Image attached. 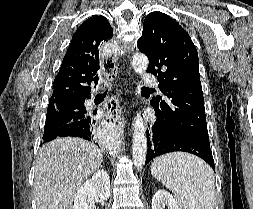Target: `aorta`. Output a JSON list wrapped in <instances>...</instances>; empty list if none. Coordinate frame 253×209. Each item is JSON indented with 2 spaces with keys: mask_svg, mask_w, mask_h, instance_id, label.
<instances>
[{
  "mask_svg": "<svg viewBox=\"0 0 253 209\" xmlns=\"http://www.w3.org/2000/svg\"><path fill=\"white\" fill-rule=\"evenodd\" d=\"M132 66L136 73L142 74L148 67V58L143 54H137L133 57ZM132 153L134 166L141 170L146 160L147 139L146 127L140 114L135 118Z\"/></svg>",
  "mask_w": 253,
  "mask_h": 209,
  "instance_id": "aorta-1",
  "label": "aorta"
}]
</instances>
